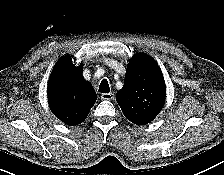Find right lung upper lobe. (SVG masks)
<instances>
[{
    "mask_svg": "<svg viewBox=\"0 0 224 175\" xmlns=\"http://www.w3.org/2000/svg\"><path fill=\"white\" fill-rule=\"evenodd\" d=\"M83 65L75 66L70 56L55 64L48 83V103L52 113L63 123H82L96 102V93L82 77Z\"/></svg>",
    "mask_w": 224,
    "mask_h": 175,
    "instance_id": "cb5924a9",
    "label": "right lung upper lobe"
}]
</instances>
